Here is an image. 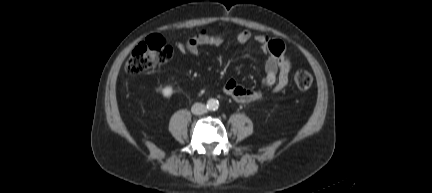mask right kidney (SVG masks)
Returning a JSON list of instances; mask_svg holds the SVG:
<instances>
[{
	"label": "right kidney",
	"mask_w": 432,
	"mask_h": 193,
	"mask_svg": "<svg viewBox=\"0 0 432 193\" xmlns=\"http://www.w3.org/2000/svg\"><path fill=\"white\" fill-rule=\"evenodd\" d=\"M163 97L169 98L173 94V88L170 85L165 86L161 91Z\"/></svg>",
	"instance_id": "obj_1"
}]
</instances>
